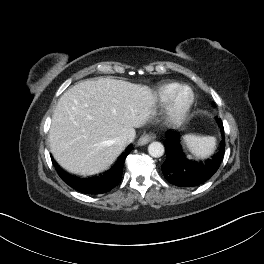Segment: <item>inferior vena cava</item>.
<instances>
[{
    "label": "inferior vena cava",
    "mask_w": 264,
    "mask_h": 264,
    "mask_svg": "<svg viewBox=\"0 0 264 264\" xmlns=\"http://www.w3.org/2000/svg\"><path fill=\"white\" fill-rule=\"evenodd\" d=\"M116 142L118 145L125 147L130 143V140L127 136L122 135L116 138Z\"/></svg>",
    "instance_id": "obj_1"
}]
</instances>
